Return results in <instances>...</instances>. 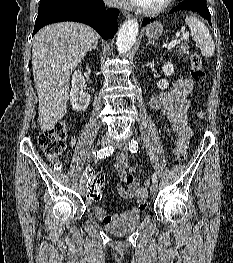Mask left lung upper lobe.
Wrapping results in <instances>:
<instances>
[{
  "label": "left lung upper lobe",
  "instance_id": "1",
  "mask_svg": "<svg viewBox=\"0 0 233 263\" xmlns=\"http://www.w3.org/2000/svg\"><path fill=\"white\" fill-rule=\"evenodd\" d=\"M178 1L181 2V1H187V0H178ZM188 1H195V2L206 3V0H188Z\"/></svg>",
  "mask_w": 233,
  "mask_h": 263
}]
</instances>
